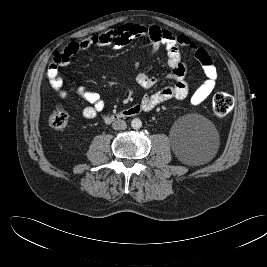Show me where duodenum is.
<instances>
[{
  "label": "duodenum",
  "instance_id": "410a0bca",
  "mask_svg": "<svg viewBox=\"0 0 267 267\" xmlns=\"http://www.w3.org/2000/svg\"><path fill=\"white\" fill-rule=\"evenodd\" d=\"M141 112V108L139 105H133L126 109L117 111V112H108L105 113L104 118L108 120L122 119L127 117L136 116Z\"/></svg>",
  "mask_w": 267,
  "mask_h": 267
}]
</instances>
